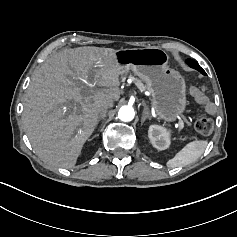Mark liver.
<instances>
[{"mask_svg":"<svg viewBox=\"0 0 237 237\" xmlns=\"http://www.w3.org/2000/svg\"><path fill=\"white\" fill-rule=\"evenodd\" d=\"M117 51L78 47L49 57L34 74L23 103L22 123L36 155L46 164L72 168L98 124L103 99H120ZM98 89L88 97L84 86Z\"/></svg>","mask_w":237,"mask_h":237,"instance_id":"1","label":"liver"}]
</instances>
